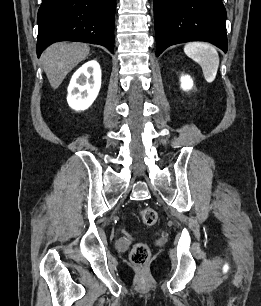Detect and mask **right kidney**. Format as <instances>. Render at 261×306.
Masks as SVG:
<instances>
[{
	"mask_svg": "<svg viewBox=\"0 0 261 306\" xmlns=\"http://www.w3.org/2000/svg\"><path fill=\"white\" fill-rule=\"evenodd\" d=\"M101 87V69L97 61H88L72 76L67 102L76 110H86L95 101Z\"/></svg>",
	"mask_w": 261,
	"mask_h": 306,
	"instance_id": "obj_1",
	"label": "right kidney"
}]
</instances>
